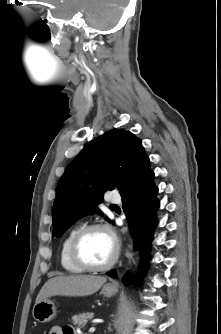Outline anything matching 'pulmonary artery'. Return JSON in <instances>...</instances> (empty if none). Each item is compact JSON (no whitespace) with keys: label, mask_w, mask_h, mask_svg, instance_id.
Listing matches in <instances>:
<instances>
[{"label":"pulmonary artery","mask_w":221,"mask_h":334,"mask_svg":"<svg viewBox=\"0 0 221 334\" xmlns=\"http://www.w3.org/2000/svg\"><path fill=\"white\" fill-rule=\"evenodd\" d=\"M107 200H108L109 202H112V203H117V202L120 201V199H119L118 197H115V196H109V197L107 198Z\"/></svg>","instance_id":"obj_1"}]
</instances>
